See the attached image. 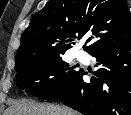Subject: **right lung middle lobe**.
Wrapping results in <instances>:
<instances>
[{"label": "right lung middle lobe", "instance_id": "dd1d6c3e", "mask_svg": "<svg viewBox=\"0 0 131 115\" xmlns=\"http://www.w3.org/2000/svg\"><path fill=\"white\" fill-rule=\"evenodd\" d=\"M64 53L34 55L20 62L15 68L19 89H25L42 100L60 98L80 73L62 60Z\"/></svg>", "mask_w": 131, "mask_h": 115}]
</instances>
